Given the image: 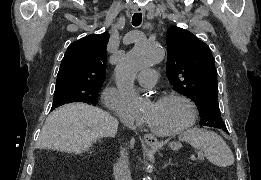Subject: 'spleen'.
<instances>
[{
  "instance_id": "3e777b00",
  "label": "spleen",
  "mask_w": 261,
  "mask_h": 180,
  "mask_svg": "<svg viewBox=\"0 0 261 180\" xmlns=\"http://www.w3.org/2000/svg\"><path fill=\"white\" fill-rule=\"evenodd\" d=\"M180 142H188L190 146L196 150H203L205 158L219 168H227L234 164V156L224 142L221 136L215 132H208V130H198V128H191L187 132H182L179 136Z\"/></svg>"
}]
</instances>
